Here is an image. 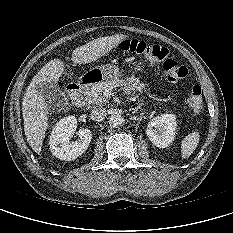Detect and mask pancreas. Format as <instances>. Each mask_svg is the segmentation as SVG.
Returning <instances> with one entry per match:
<instances>
[{
    "mask_svg": "<svg viewBox=\"0 0 233 233\" xmlns=\"http://www.w3.org/2000/svg\"><path fill=\"white\" fill-rule=\"evenodd\" d=\"M118 86H120V84L117 81L96 83L90 89L84 90L85 100L89 105H102L107 103L108 100L104 94L105 91H112V89ZM129 86L132 90L140 92L145 89V85L135 78L130 79Z\"/></svg>",
    "mask_w": 233,
    "mask_h": 233,
    "instance_id": "1",
    "label": "pancreas"
}]
</instances>
